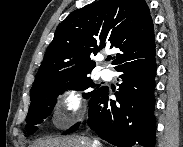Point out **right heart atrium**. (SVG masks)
Segmentation results:
<instances>
[{"instance_id": "1", "label": "right heart atrium", "mask_w": 183, "mask_h": 147, "mask_svg": "<svg viewBox=\"0 0 183 147\" xmlns=\"http://www.w3.org/2000/svg\"><path fill=\"white\" fill-rule=\"evenodd\" d=\"M81 97L77 90L68 88L60 96V105L55 110V117L58 122L62 121L63 125H69L70 114L76 113L81 107Z\"/></svg>"}]
</instances>
